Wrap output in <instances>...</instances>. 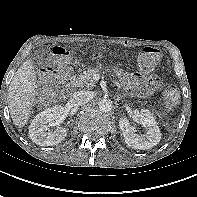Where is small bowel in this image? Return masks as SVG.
<instances>
[{
	"label": "small bowel",
	"mask_w": 197,
	"mask_h": 197,
	"mask_svg": "<svg viewBox=\"0 0 197 197\" xmlns=\"http://www.w3.org/2000/svg\"><path fill=\"white\" fill-rule=\"evenodd\" d=\"M119 75L126 89L143 97L152 95L160 84V79L157 75L145 76L140 72L130 75L120 72Z\"/></svg>",
	"instance_id": "small-bowel-1"
}]
</instances>
